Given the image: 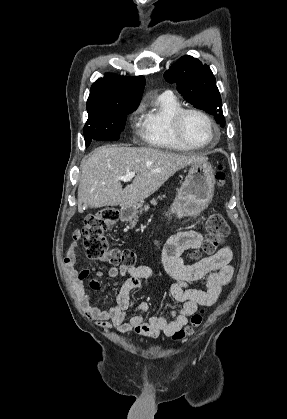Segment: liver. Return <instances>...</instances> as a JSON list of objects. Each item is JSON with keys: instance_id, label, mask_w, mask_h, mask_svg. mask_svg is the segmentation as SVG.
<instances>
[{"instance_id": "6515ba94", "label": "liver", "mask_w": 287, "mask_h": 419, "mask_svg": "<svg viewBox=\"0 0 287 419\" xmlns=\"http://www.w3.org/2000/svg\"><path fill=\"white\" fill-rule=\"evenodd\" d=\"M205 156L178 154L153 147L101 146L81 162L78 211L104 206H137L182 168L206 161ZM136 176L124 189L118 177Z\"/></svg>"}]
</instances>
